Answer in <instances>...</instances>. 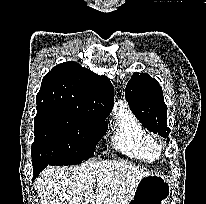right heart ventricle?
Returning a JSON list of instances; mask_svg holds the SVG:
<instances>
[{"label":"right heart ventricle","instance_id":"right-heart-ventricle-1","mask_svg":"<svg viewBox=\"0 0 206 204\" xmlns=\"http://www.w3.org/2000/svg\"><path fill=\"white\" fill-rule=\"evenodd\" d=\"M113 146L127 157L152 163L157 159L156 141L131 110L121 105L114 118Z\"/></svg>","mask_w":206,"mask_h":204}]
</instances>
